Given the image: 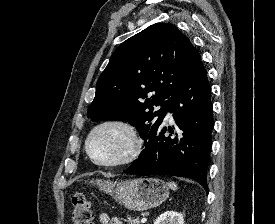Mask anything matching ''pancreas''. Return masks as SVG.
<instances>
[{
	"label": "pancreas",
	"instance_id": "1",
	"mask_svg": "<svg viewBox=\"0 0 275 224\" xmlns=\"http://www.w3.org/2000/svg\"><path fill=\"white\" fill-rule=\"evenodd\" d=\"M126 221L128 224H140L139 217H128Z\"/></svg>",
	"mask_w": 275,
	"mask_h": 224
}]
</instances>
